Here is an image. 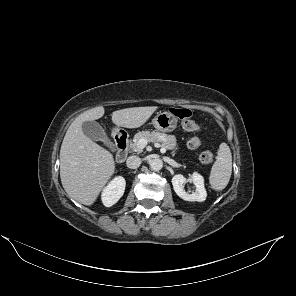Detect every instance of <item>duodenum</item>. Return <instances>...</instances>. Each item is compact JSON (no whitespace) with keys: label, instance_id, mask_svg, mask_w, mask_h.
Wrapping results in <instances>:
<instances>
[{"label":"duodenum","instance_id":"duodenum-1","mask_svg":"<svg viewBox=\"0 0 296 296\" xmlns=\"http://www.w3.org/2000/svg\"><path fill=\"white\" fill-rule=\"evenodd\" d=\"M114 140L117 146L115 159L118 163H121L127 157L128 138L123 132H115Z\"/></svg>","mask_w":296,"mask_h":296}]
</instances>
